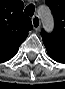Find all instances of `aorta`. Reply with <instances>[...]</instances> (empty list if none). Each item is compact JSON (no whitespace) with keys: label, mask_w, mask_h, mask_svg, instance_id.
<instances>
[{"label":"aorta","mask_w":65,"mask_h":89,"mask_svg":"<svg viewBox=\"0 0 65 89\" xmlns=\"http://www.w3.org/2000/svg\"><path fill=\"white\" fill-rule=\"evenodd\" d=\"M39 15H40L44 28L47 31H51L53 29V16H52L50 9L45 6L42 7L39 10Z\"/></svg>","instance_id":"762f6f07"}]
</instances>
